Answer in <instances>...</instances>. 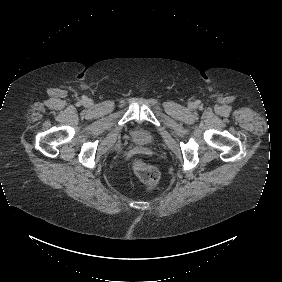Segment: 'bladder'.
Returning <instances> with one entry per match:
<instances>
[{
  "mask_svg": "<svg viewBox=\"0 0 282 282\" xmlns=\"http://www.w3.org/2000/svg\"><path fill=\"white\" fill-rule=\"evenodd\" d=\"M132 139L137 144L146 145L152 141L153 136L150 131L139 128L133 131Z\"/></svg>",
  "mask_w": 282,
  "mask_h": 282,
  "instance_id": "1",
  "label": "bladder"
}]
</instances>
